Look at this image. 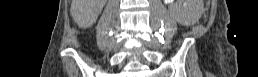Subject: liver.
<instances>
[{
	"label": "liver",
	"instance_id": "obj_1",
	"mask_svg": "<svg viewBox=\"0 0 258 77\" xmlns=\"http://www.w3.org/2000/svg\"><path fill=\"white\" fill-rule=\"evenodd\" d=\"M93 0H72L71 13L80 25H87L91 18L88 4Z\"/></svg>",
	"mask_w": 258,
	"mask_h": 77
}]
</instances>
